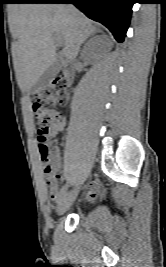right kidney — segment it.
<instances>
[{
	"label": "right kidney",
	"mask_w": 166,
	"mask_h": 267,
	"mask_svg": "<svg viewBox=\"0 0 166 267\" xmlns=\"http://www.w3.org/2000/svg\"><path fill=\"white\" fill-rule=\"evenodd\" d=\"M102 41H106V40L102 38ZM98 45H99L98 43L94 42L91 39V43L89 44L88 49H87V54L94 57L96 55L95 52L98 49Z\"/></svg>",
	"instance_id": "right-kidney-1"
}]
</instances>
